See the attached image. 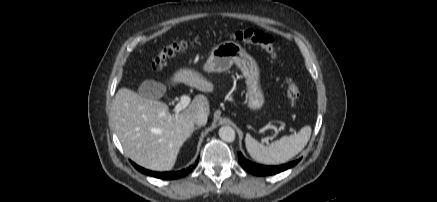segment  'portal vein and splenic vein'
<instances>
[{
	"label": "portal vein and splenic vein",
	"mask_w": 437,
	"mask_h": 202,
	"mask_svg": "<svg viewBox=\"0 0 437 202\" xmlns=\"http://www.w3.org/2000/svg\"><path fill=\"white\" fill-rule=\"evenodd\" d=\"M189 103H190V97L187 95H183L180 98V102L177 103V105L174 107L173 111L176 114H178L179 112L184 110L188 106Z\"/></svg>",
	"instance_id": "18ae733b"
}]
</instances>
